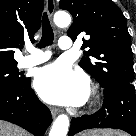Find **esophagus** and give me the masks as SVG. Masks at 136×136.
Returning <instances> with one entry per match:
<instances>
[{"label": "esophagus", "mask_w": 136, "mask_h": 136, "mask_svg": "<svg viewBox=\"0 0 136 136\" xmlns=\"http://www.w3.org/2000/svg\"><path fill=\"white\" fill-rule=\"evenodd\" d=\"M47 13L50 19H52L54 11H55V0H46ZM51 114L53 117H56L59 113L57 108H50Z\"/></svg>", "instance_id": "obj_1"}]
</instances>
